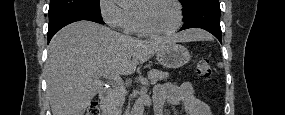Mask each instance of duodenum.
<instances>
[{"instance_id": "1", "label": "duodenum", "mask_w": 285, "mask_h": 115, "mask_svg": "<svg viewBox=\"0 0 285 115\" xmlns=\"http://www.w3.org/2000/svg\"><path fill=\"white\" fill-rule=\"evenodd\" d=\"M99 97H100L101 102L105 105V103L107 102L109 98V89L103 88L99 93Z\"/></svg>"}]
</instances>
